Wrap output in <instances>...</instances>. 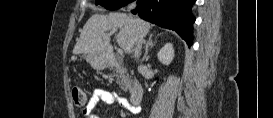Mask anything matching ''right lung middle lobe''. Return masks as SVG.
<instances>
[{"label": "right lung middle lobe", "mask_w": 273, "mask_h": 118, "mask_svg": "<svg viewBox=\"0 0 273 118\" xmlns=\"http://www.w3.org/2000/svg\"><path fill=\"white\" fill-rule=\"evenodd\" d=\"M132 2V0H96V5L100 4L109 10H116Z\"/></svg>", "instance_id": "1"}]
</instances>
